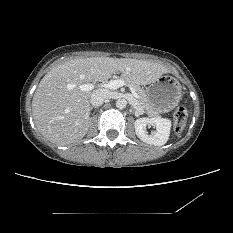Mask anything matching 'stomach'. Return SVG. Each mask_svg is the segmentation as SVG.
<instances>
[{
	"mask_svg": "<svg viewBox=\"0 0 233 233\" xmlns=\"http://www.w3.org/2000/svg\"><path fill=\"white\" fill-rule=\"evenodd\" d=\"M146 95L148 103L155 111L166 113L178 105L182 97V87L176 78L163 75L149 84Z\"/></svg>",
	"mask_w": 233,
	"mask_h": 233,
	"instance_id": "obj_1",
	"label": "stomach"
}]
</instances>
